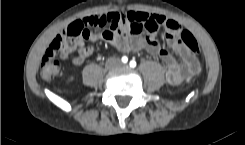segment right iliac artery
<instances>
[{
    "instance_id": "obj_1",
    "label": "right iliac artery",
    "mask_w": 245,
    "mask_h": 145,
    "mask_svg": "<svg viewBox=\"0 0 245 145\" xmlns=\"http://www.w3.org/2000/svg\"><path fill=\"white\" fill-rule=\"evenodd\" d=\"M127 61H128V58H127L126 56H123V57H122V62H123V63H127Z\"/></svg>"
}]
</instances>
